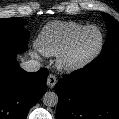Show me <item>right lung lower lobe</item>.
Segmentation results:
<instances>
[{
  "instance_id": "98d812e1",
  "label": "right lung lower lobe",
  "mask_w": 119,
  "mask_h": 119,
  "mask_svg": "<svg viewBox=\"0 0 119 119\" xmlns=\"http://www.w3.org/2000/svg\"><path fill=\"white\" fill-rule=\"evenodd\" d=\"M22 50L0 45V119H26L46 92L47 69L28 73L15 59Z\"/></svg>"
}]
</instances>
